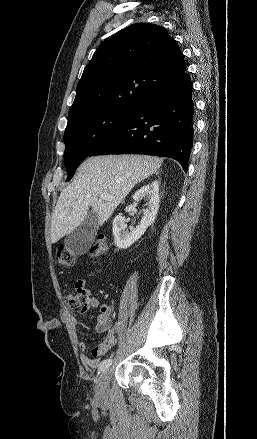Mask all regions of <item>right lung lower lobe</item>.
<instances>
[{
    "mask_svg": "<svg viewBox=\"0 0 257 439\" xmlns=\"http://www.w3.org/2000/svg\"><path fill=\"white\" fill-rule=\"evenodd\" d=\"M192 82L184 73L147 97L89 156L145 154L177 160L185 171L193 143Z\"/></svg>",
    "mask_w": 257,
    "mask_h": 439,
    "instance_id": "1",
    "label": "right lung lower lobe"
}]
</instances>
